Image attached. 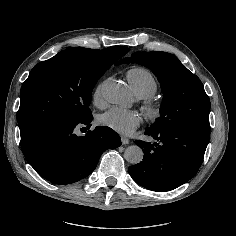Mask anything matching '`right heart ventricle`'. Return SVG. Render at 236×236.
<instances>
[{
  "label": "right heart ventricle",
  "mask_w": 236,
  "mask_h": 236,
  "mask_svg": "<svg viewBox=\"0 0 236 236\" xmlns=\"http://www.w3.org/2000/svg\"><path fill=\"white\" fill-rule=\"evenodd\" d=\"M127 78L137 97L148 99L156 94L157 82L150 71L140 67L133 68L127 72Z\"/></svg>",
  "instance_id": "obj_1"
}]
</instances>
